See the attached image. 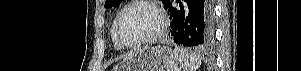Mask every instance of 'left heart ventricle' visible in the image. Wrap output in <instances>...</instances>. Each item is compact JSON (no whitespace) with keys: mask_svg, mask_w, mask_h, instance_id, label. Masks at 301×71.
Wrapping results in <instances>:
<instances>
[{"mask_svg":"<svg viewBox=\"0 0 301 71\" xmlns=\"http://www.w3.org/2000/svg\"><path fill=\"white\" fill-rule=\"evenodd\" d=\"M158 26L156 14L148 7L134 6L122 16L120 34L128 43H135L153 34Z\"/></svg>","mask_w":301,"mask_h":71,"instance_id":"1","label":"left heart ventricle"}]
</instances>
